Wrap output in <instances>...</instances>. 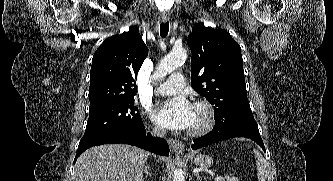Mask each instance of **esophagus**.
Instances as JSON below:
<instances>
[{
	"label": "esophagus",
	"mask_w": 333,
	"mask_h": 181,
	"mask_svg": "<svg viewBox=\"0 0 333 181\" xmlns=\"http://www.w3.org/2000/svg\"><path fill=\"white\" fill-rule=\"evenodd\" d=\"M168 21V18L167 17H162V22H167ZM169 146L171 147V149L177 153V154H183L184 153V150H185V147H184V144L182 142H180L179 140H176V139H168L167 140Z\"/></svg>",
	"instance_id": "1"
}]
</instances>
